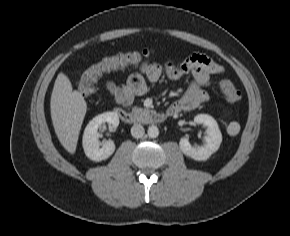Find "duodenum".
I'll return each instance as SVG.
<instances>
[{"instance_id":"1","label":"duodenum","mask_w":290,"mask_h":236,"mask_svg":"<svg viewBox=\"0 0 290 236\" xmlns=\"http://www.w3.org/2000/svg\"><path fill=\"white\" fill-rule=\"evenodd\" d=\"M115 113L127 124H160L166 120L165 114L156 111L135 112L118 108Z\"/></svg>"}]
</instances>
